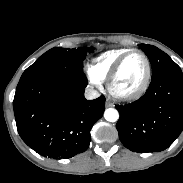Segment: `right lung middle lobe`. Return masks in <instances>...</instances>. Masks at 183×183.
Here are the masks:
<instances>
[{"mask_svg":"<svg viewBox=\"0 0 183 183\" xmlns=\"http://www.w3.org/2000/svg\"><path fill=\"white\" fill-rule=\"evenodd\" d=\"M92 51V48L54 47L41 55L33 65L24 71L21 77L63 70H83V61L87 54Z\"/></svg>","mask_w":183,"mask_h":183,"instance_id":"1","label":"right lung middle lobe"}]
</instances>
